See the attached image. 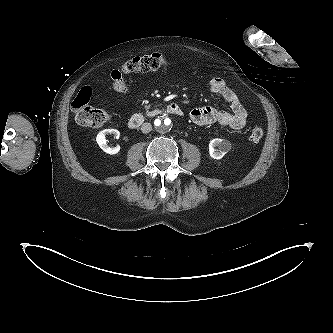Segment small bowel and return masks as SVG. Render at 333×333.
I'll use <instances>...</instances> for the list:
<instances>
[{
    "label": "small bowel",
    "mask_w": 333,
    "mask_h": 333,
    "mask_svg": "<svg viewBox=\"0 0 333 333\" xmlns=\"http://www.w3.org/2000/svg\"><path fill=\"white\" fill-rule=\"evenodd\" d=\"M209 90L218 94L229 104L230 111L218 110L213 106L194 108L189 112L190 119L197 125L219 124L233 130H240L246 124L247 111L233 89L221 77L212 78Z\"/></svg>",
    "instance_id": "c3829d8e"
}]
</instances>
